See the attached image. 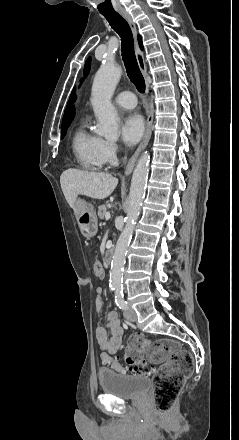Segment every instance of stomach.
<instances>
[{"label": "stomach", "mask_w": 239, "mask_h": 440, "mask_svg": "<svg viewBox=\"0 0 239 440\" xmlns=\"http://www.w3.org/2000/svg\"><path fill=\"white\" fill-rule=\"evenodd\" d=\"M73 210L81 234H83L87 240L94 238L98 232V220L93 204L86 202V200H79L78 198Z\"/></svg>", "instance_id": "obj_1"}]
</instances>
